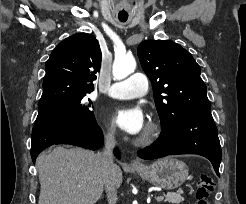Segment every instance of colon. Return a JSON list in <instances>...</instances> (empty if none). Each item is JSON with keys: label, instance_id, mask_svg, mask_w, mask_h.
Segmentation results:
<instances>
[{"label": "colon", "instance_id": "colon-1", "mask_svg": "<svg viewBox=\"0 0 246 204\" xmlns=\"http://www.w3.org/2000/svg\"><path fill=\"white\" fill-rule=\"evenodd\" d=\"M214 189L215 183L213 179L207 174L200 175L196 189L197 204H209V196Z\"/></svg>", "mask_w": 246, "mask_h": 204}]
</instances>
